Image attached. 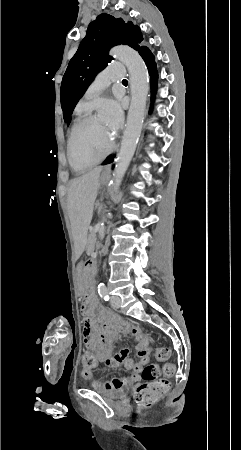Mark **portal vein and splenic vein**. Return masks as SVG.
Returning <instances> with one entry per match:
<instances>
[{"mask_svg": "<svg viewBox=\"0 0 241 450\" xmlns=\"http://www.w3.org/2000/svg\"><path fill=\"white\" fill-rule=\"evenodd\" d=\"M97 225H98V226H97ZM97 225L95 226L96 229H95V228H94V229H95L96 231H100V230H101V227H100V226L102 225V222H101V221H98V222H97Z\"/></svg>", "mask_w": 241, "mask_h": 450, "instance_id": "18ae733b", "label": "portal vein and splenic vein"}]
</instances>
